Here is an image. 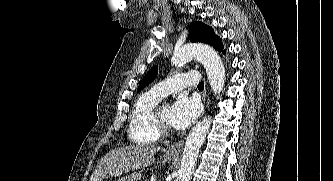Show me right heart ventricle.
Masks as SVG:
<instances>
[{
    "instance_id": "right-heart-ventricle-1",
    "label": "right heart ventricle",
    "mask_w": 333,
    "mask_h": 181,
    "mask_svg": "<svg viewBox=\"0 0 333 181\" xmlns=\"http://www.w3.org/2000/svg\"><path fill=\"white\" fill-rule=\"evenodd\" d=\"M162 98L152 91L141 94L135 101L130 121L128 136L137 144H153L160 139V133L156 130L152 114Z\"/></svg>"
}]
</instances>
